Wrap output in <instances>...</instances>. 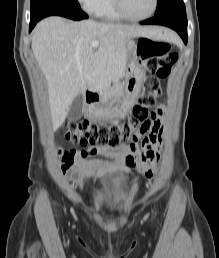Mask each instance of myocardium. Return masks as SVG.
<instances>
[{"label": "myocardium", "instance_id": "obj_1", "mask_svg": "<svg viewBox=\"0 0 219 258\" xmlns=\"http://www.w3.org/2000/svg\"><path fill=\"white\" fill-rule=\"evenodd\" d=\"M113 1H114L115 9L117 13L120 15V17L130 21H143V20L149 19L156 13L159 5V0H154L153 8L148 14L144 16H132L128 14V12L126 11L123 4V0H113Z\"/></svg>", "mask_w": 219, "mask_h": 258}]
</instances>
